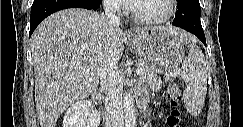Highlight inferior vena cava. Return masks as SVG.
Listing matches in <instances>:
<instances>
[{
  "mask_svg": "<svg viewBox=\"0 0 243 127\" xmlns=\"http://www.w3.org/2000/svg\"><path fill=\"white\" fill-rule=\"evenodd\" d=\"M120 6L119 0H105V15L113 26L120 25V19L116 15V11ZM106 67L100 76V85L105 92V125L106 127H123V105L122 76L117 67V60L110 53L106 61Z\"/></svg>",
  "mask_w": 243,
  "mask_h": 127,
  "instance_id": "602c4592",
  "label": "inferior vena cava"
}]
</instances>
